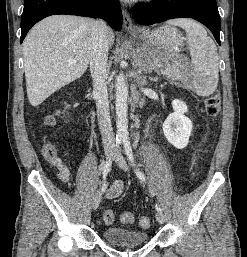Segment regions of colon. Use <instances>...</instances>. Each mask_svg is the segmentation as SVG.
<instances>
[{"mask_svg": "<svg viewBox=\"0 0 247 257\" xmlns=\"http://www.w3.org/2000/svg\"><path fill=\"white\" fill-rule=\"evenodd\" d=\"M220 108H221V101H220V95L218 93H214L205 99V112L209 118L215 119L216 117H218L220 113ZM52 122H53V117H49L48 123H52ZM42 153L45 158L50 159L57 155V149L53 144L45 143L42 146ZM102 218L105 223L110 224L114 221V213L108 209L104 210L102 214ZM120 220L122 223L130 224L133 222L134 216L131 213L125 212L121 215ZM150 224H151L150 219L147 216H142L139 219V225L142 228H149Z\"/></svg>", "mask_w": 247, "mask_h": 257, "instance_id": "obj_1", "label": "colon"}]
</instances>
